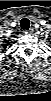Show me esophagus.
<instances>
[{
  "mask_svg": "<svg viewBox=\"0 0 51 101\" xmlns=\"http://www.w3.org/2000/svg\"><path fill=\"white\" fill-rule=\"evenodd\" d=\"M32 32H33V28H30V29H28V30H24V31H23V33H24L25 35L32 34Z\"/></svg>",
  "mask_w": 51,
  "mask_h": 101,
  "instance_id": "34e87169",
  "label": "esophagus"
}]
</instances>
